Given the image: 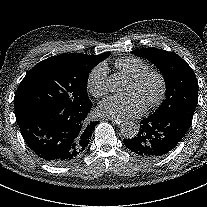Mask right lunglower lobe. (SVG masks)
I'll use <instances>...</instances> for the list:
<instances>
[{
  "instance_id": "right-lung-lower-lobe-1",
  "label": "right lung lower lobe",
  "mask_w": 207,
  "mask_h": 207,
  "mask_svg": "<svg viewBox=\"0 0 207 207\" xmlns=\"http://www.w3.org/2000/svg\"><path fill=\"white\" fill-rule=\"evenodd\" d=\"M91 107L71 114L48 108L16 120L29 148L47 163L62 166L79 158L89 143L97 124L88 117Z\"/></svg>"
}]
</instances>
